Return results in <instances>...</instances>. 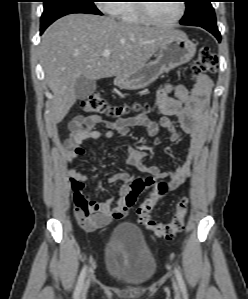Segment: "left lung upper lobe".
<instances>
[{
    "label": "left lung upper lobe",
    "mask_w": 248,
    "mask_h": 299,
    "mask_svg": "<svg viewBox=\"0 0 248 299\" xmlns=\"http://www.w3.org/2000/svg\"><path fill=\"white\" fill-rule=\"evenodd\" d=\"M186 11L180 20L182 25H216V17L211 0H185Z\"/></svg>",
    "instance_id": "obj_1"
}]
</instances>
